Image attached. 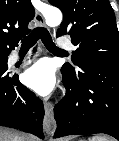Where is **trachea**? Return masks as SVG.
<instances>
[{
	"label": "trachea",
	"mask_w": 119,
	"mask_h": 141,
	"mask_svg": "<svg viewBox=\"0 0 119 141\" xmlns=\"http://www.w3.org/2000/svg\"><path fill=\"white\" fill-rule=\"evenodd\" d=\"M39 38H41L43 44L49 51L59 53L65 52L53 43L50 33L43 27L35 28L33 32L22 41L21 49H30Z\"/></svg>",
	"instance_id": "trachea-1"
}]
</instances>
